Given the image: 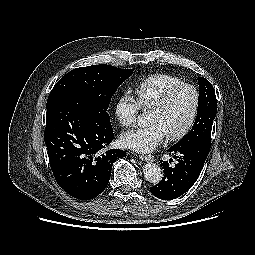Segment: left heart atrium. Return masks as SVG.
Instances as JSON below:
<instances>
[{
  "instance_id": "39dd6f15",
  "label": "left heart atrium",
  "mask_w": 255,
  "mask_h": 255,
  "mask_svg": "<svg viewBox=\"0 0 255 255\" xmlns=\"http://www.w3.org/2000/svg\"><path fill=\"white\" fill-rule=\"evenodd\" d=\"M166 134L160 125L153 123L144 128H133L123 132L119 137L122 147L147 153L162 143Z\"/></svg>"
}]
</instances>
